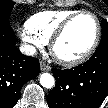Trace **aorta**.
<instances>
[{
    "instance_id": "1",
    "label": "aorta",
    "mask_w": 108,
    "mask_h": 108,
    "mask_svg": "<svg viewBox=\"0 0 108 108\" xmlns=\"http://www.w3.org/2000/svg\"><path fill=\"white\" fill-rule=\"evenodd\" d=\"M40 84L43 87H45L47 89H50V88L54 87V85H55V79H54V77L51 74H49V73H43L40 76Z\"/></svg>"
}]
</instances>
